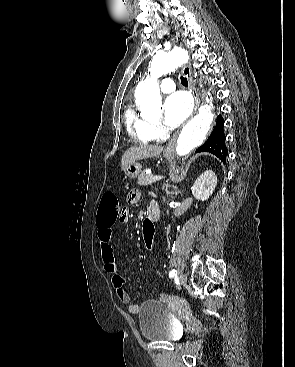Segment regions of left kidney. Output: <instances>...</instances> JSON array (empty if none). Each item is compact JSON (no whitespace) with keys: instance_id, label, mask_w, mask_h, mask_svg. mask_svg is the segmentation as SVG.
Returning <instances> with one entry per match:
<instances>
[{"instance_id":"1","label":"left kidney","mask_w":295,"mask_h":367,"mask_svg":"<svg viewBox=\"0 0 295 367\" xmlns=\"http://www.w3.org/2000/svg\"><path fill=\"white\" fill-rule=\"evenodd\" d=\"M217 185V176L212 170H206L194 182L191 190L194 197L206 201L213 194Z\"/></svg>"}]
</instances>
